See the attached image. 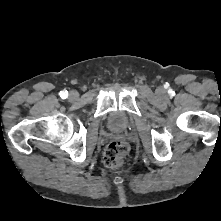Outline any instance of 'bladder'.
Instances as JSON below:
<instances>
[{"label": "bladder", "mask_w": 221, "mask_h": 221, "mask_svg": "<svg viewBox=\"0 0 221 221\" xmlns=\"http://www.w3.org/2000/svg\"><path fill=\"white\" fill-rule=\"evenodd\" d=\"M129 124L128 117L121 111H113L109 113L107 118V125L112 130L125 129Z\"/></svg>", "instance_id": "31cf9c89"}]
</instances>
